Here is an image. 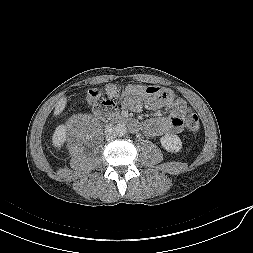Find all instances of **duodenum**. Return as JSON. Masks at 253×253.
Listing matches in <instances>:
<instances>
[{"label":"duodenum","instance_id":"1","mask_svg":"<svg viewBox=\"0 0 253 253\" xmlns=\"http://www.w3.org/2000/svg\"><path fill=\"white\" fill-rule=\"evenodd\" d=\"M93 113H94L95 117H97V118H101V117H104V116L108 117L112 121H114L115 123L126 125L131 130H134V131L138 130L139 127H140L139 123L135 119L116 114L114 112V110H112L110 108H104L100 105L96 106L94 108Z\"/></svg>","mask_w":253,"mask_h":253}]
</instances>
